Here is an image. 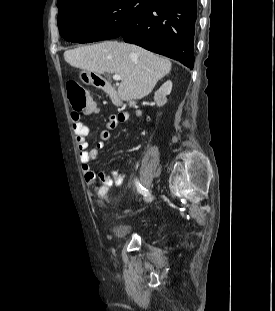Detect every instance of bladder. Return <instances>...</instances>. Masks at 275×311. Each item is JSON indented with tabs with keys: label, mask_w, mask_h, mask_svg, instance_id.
I'll list each match as a JSON object with an SVG mask.
<instances>
[{
	"label": "bladder",
	"mask_w": 275,
	"mask_h": 311,
	"mask_svg": "<svg viewBox=\"0 0 275 311\" xmlns=\"http://www.w3.org/2000/svg\"><path fill=\"white\" fill-rule=\"evenodd\" d=\"M132 231L131 226L123 223H115L111 226V235L115 239L127 237Z\"/></svg>",
	"instance_id": "31cf9c89"
}]
</instances>
